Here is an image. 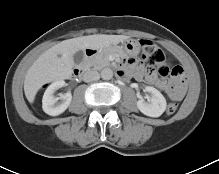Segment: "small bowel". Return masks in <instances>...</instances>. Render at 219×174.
<instances>
[{
    "instance_id": "small-bowel-1",
    "label": "small bowel",
    "mask_w": 219,
    "mask_h": 174,
    "mask_svg": "<svg viewBox=\"0 0 219 174\" xmlns=\"http://www.w3.org/2000/svg\"><path fill=\"white\" fill-rule=\"evenodd\" d=\"M118 74L121 76L133 74L138 79L142 78L143 70L140 66H137L132 59L126 60V62L119 68ZM146 80L149 83L156 84L163 88V94L166 97H170L172 100L179 101L182 99L185 90L186 82L184 79L180 80L172 78L171 80H160L157 76L148 71L146 73Z\"/></svg>"
}]
</instances>
